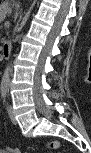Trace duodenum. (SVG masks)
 <instances>
[{"label":"duodenum","instance_id":"duodenum-1","mask_svg":"<svg viewBox=\"0 0 91 153\" xmlns=\"http://www.w3.org/2000/svg\"><path fill=\"white\" fill-rule=\"evenodd\" d=\"M12 51V43L10 41H7L3 45V57L4 59H9L10 54Z\"/></svg>","mask_w":91,"mask_h":153}]
</instances>
